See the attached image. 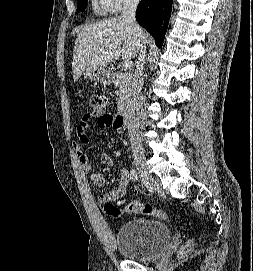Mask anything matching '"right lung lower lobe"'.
<instances>
[{"instance_id": "right-lung-lower-lobe-1", "label": "right lung lower lobe", "mask_w": 253, "mask_h": 271, "mask_svg": "<svg viewBox=\"0 0 253 271\" xmlns=\"http://www.w3.org/2000/svg\"><path fill=\"white\" fill-rule=\"evenodd\" d=\"M173 0H141L136 11V20L155 39L161 48L168 27Z\"/></svg>"}]
</instances>
